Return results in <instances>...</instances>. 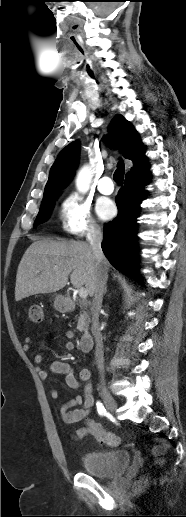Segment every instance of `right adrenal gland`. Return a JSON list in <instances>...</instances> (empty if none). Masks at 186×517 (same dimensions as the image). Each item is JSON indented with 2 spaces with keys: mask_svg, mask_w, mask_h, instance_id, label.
<instances>
[{
  "mask_svg": "<svg viewBox=\"0 0 186 517\" xmlns=\"http://www.w3.org/2000/svg\"><path fill=\"white\" fill-rule=\"evenodd\" d=\"M107 292V287H105V293Z\"/></svg>",
  "mask_w": 186,
  "mask_h": 517,
  "instance_id": "1",
  "label": "right adrenal gland"
}]
</instances>
